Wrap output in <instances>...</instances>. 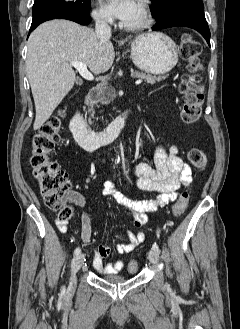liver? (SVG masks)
I'll return each instance as SVG.
<instances>
[{
  "mask_svg": "<svg viewBox=\"0 0 240 329\" xmlns=\"http://www.w3.org/2000/svg\"><path fill=\"white\" fill-rule=\"evenodd\" d=\"M115 59L110 40L67 20H52L38 26L28 40L26 68L39 129L72 89L76 74L71 61L86 64L96 75L110 69Z\"/></svg>",
  "mask_w": 240,
  "mask_h": 329,
  "instance_id": "1",
  "label": "liver"
}]
</instances>
